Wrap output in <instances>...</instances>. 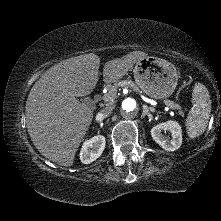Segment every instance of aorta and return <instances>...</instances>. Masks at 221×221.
<instances>
[{
	"instance_id": "obj_1",
	"label": "aorta",
	"mask_w": 221,
	"mask_h": 221,
	"mask_svg": "<svg viewBox=\"0 0 221 221\" xmlns=\"http://www.w3.org/2000/svg\"><path fill=\"white\" fill-rule=\"evenodd\" d=\"M120 112L127 119L134 118L139 113V104L134 98H125L120 104Z\"/></svg>"
}]
</instances>
